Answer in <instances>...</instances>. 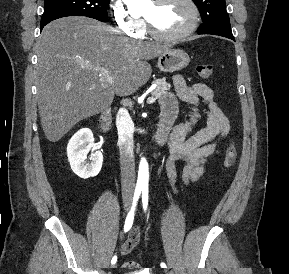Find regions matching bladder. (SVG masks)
<instances>
[{
	"label": "bladder",
	"mask_w": 289,
	"mask_h": 274,
	"mask_svg": "<svg viewBox=\"0 0 289 274\" xmlns=\"http://www.w3.org/2000/svg\"><path fill=\"white\" fill-rule=\"evenodd\" d=\"M123 274H145L143 272H125Z\"/></svg>",
	"instance_id": "1"
}]
</instances>
